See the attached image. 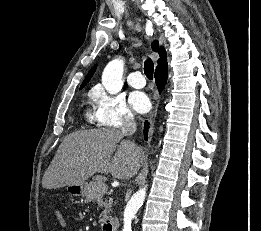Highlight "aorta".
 Segmentation results:
<instances>
[{
  "mask_svg": "<svg viewBox=\"0 0 261 231\" xmlns=\"http://www.w3.org/2000/svg\"><path fill=\"white\" fill-rule=\"evenodd\" d=\"M124 63L122 60L115 59L107 64L102 74V84L110 94H117L123 86L122 77ZM146 196V186L139 189L126 205L124 210L122 231H132L131 222L137 211L144 202Z\"/></svg>",
  "mask_w": 261,
  "mask_h": 231,
  "instance_id": "aorta-1",
  "label": "aorta"
}]
</instances>
